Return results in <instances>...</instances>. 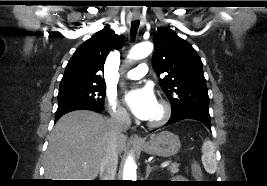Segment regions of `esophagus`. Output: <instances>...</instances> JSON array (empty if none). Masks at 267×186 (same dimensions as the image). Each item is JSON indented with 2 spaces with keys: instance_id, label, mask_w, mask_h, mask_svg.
<instances>
[{
  "instance_id": "34e87169",
  "label": "esophagus",
  "mask_w": 267,
  "mask_h": 186,
  "mask_svg": "<svg viewBox=\"0 0 267 186\" xmlns=\"http://www.w3.org/2000/svg\"><path fill=\"white\" fill-rule=\"evenodd\" d=\"M138 18H139V16H137V15L134 16V19H138ZM130 142L135 143V144H142L143 140L139 135L133 134L130 136Z\"/></svg>"
}]
</instances>
